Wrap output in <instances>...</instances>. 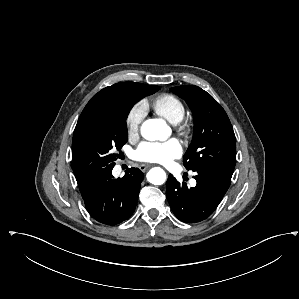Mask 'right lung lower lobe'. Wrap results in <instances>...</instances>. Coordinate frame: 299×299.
Segmentation results:
<instances>
[{
  "instance_id": "obj_1",
  "label": "right lung lower lobe",
  "mask_w": 299,
  "mask_h": 299,
  "mask_svg": "<svg viewBox=\"0 0 299 299\" xmlns=\"http://www.w3.org/2000/svg\"><path fill=\"white\" fill-rule=\"evenodd\" d=\"M112 169L78 185L90 215L106 225L118 224L133 214L144 177L141 170L130 168L122 178L116 179Z\"/></svg>"
}]
</instances>
